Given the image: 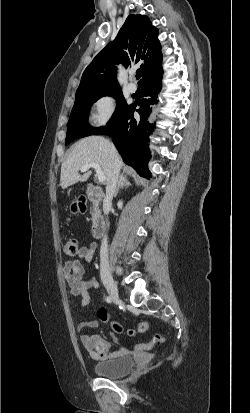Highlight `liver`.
I'll return each instance as SVG.
<instances>
[{
    "mask_svg": "<svg viewBox=\"0 0 250 413\" xmlns=\"http://www.w3.org/2000/svg\"><path fill=\"white\" fill-rule=\"evenodd\" d=\"M112 143L102 136H89L78 141L61 166L60 185L62 189L77 183L87 181L91 171L79 174L82 166L97 163L106 177V185L110 182L113 172ZM119 164L122 166L120 156Z\"/></svg>",
    "mask_w": 250,
    "mask_h": 413,
    "instance_id": "obj_1",
    "label": "liver"
}]
</instances>
